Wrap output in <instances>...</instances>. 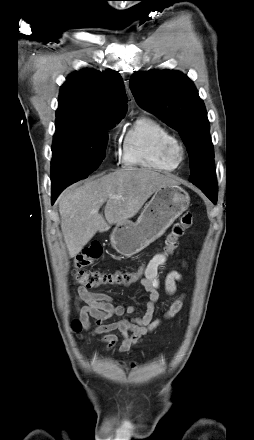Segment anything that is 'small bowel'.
Returning <instances> with one entry per match:
<instances>
[{
	"instance_id": "small-bowel-1",
	"label": "small bowel",
	"mask_w": 254,
	"mask_h": 440,
	"mask_svg": "<svg viewBox=\"0 0 254 440\" xmlns=\"http://www.w3.org/2000/svg\"><path fill=\"white\" fill-rule=\"evenodd\" d=\"M168 256L165 252L156 253L147 264L144 275L140 279L142 289L149 295L145 311L141 316L109 322L115 316L134 314L138 308L134 305L115 304L105 293L93 292L83 286L78 287L75 303L84 328H90L89 319L93 318L95 327L92 334L103 335L102 341L109 349L115 347L119 341L114 332L120 333L122 340L118 349L122 353L129 352L132 346L140 343L145 335L158 328L162 320L153 318L162 285L158 277V268L167 261ZM181 278L180 272L170 271L163 282L165 291L173 294ZM183 299L184 296H181L171 304L165 313L166 319L174 317L181 310Z\"/></svg>"
}]
</instances>
